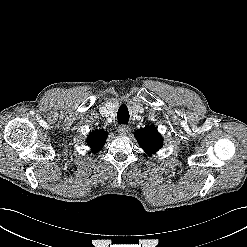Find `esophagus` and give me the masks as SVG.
Returning a JSON list of instances; mask_svg holds the SVG:
<instances>
[{"label":"esophagus","instance_id":"1","mask_svg":"<svg viewBox=\"0 0 247 247\" xmlns=\"http://www.w3.org/2000/svg\"><path fill=\"white\" fill-rule=\"evenodd\" d=\"M129 131V127L125 124H122L118 127V132L120 135H126Z\"/></svg>","mask_w":247,"mask_h":247}]
</instances>
